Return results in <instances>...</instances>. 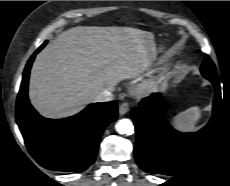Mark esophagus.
<instances>
[{"label":"esophagus","mask_w":230,"mask_h":186,"mask_svg":"<svg viewBox=\"0 0 230 186\" xmlns=\"http://www.w3.org/2000/svg\"><path fill=\"white\" fill-rule=\"evenodd\" d=\"M128 111H129V105H128V103H126V102L121 103L120 106H119V113L121 115H124Z\"/></svg>","instance_id":"obj_1"}]
</instances>
